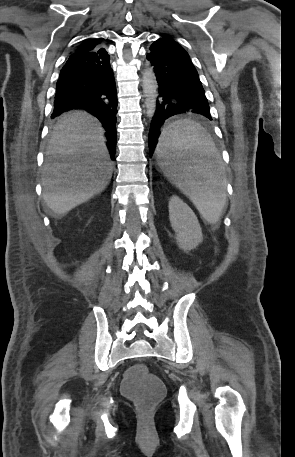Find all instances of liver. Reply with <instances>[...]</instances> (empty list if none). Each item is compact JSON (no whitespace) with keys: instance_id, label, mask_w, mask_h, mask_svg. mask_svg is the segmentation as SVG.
I'll use <instances>...</instances> for the list:
<instances>
[{"instance_id":"6515ba94","label":"liver","mask_w":295,"mask_h":457,"mask_svg":"<svg viewBox=\"0 0 295 457\" xmlns=\"http://www.w3.org/2000/svg\"><path fill=\"white\" fill-rule=\"evenodd\" d=\"M104 129L85 111L65 113L54 127L43 167V198L64 215L101 193L112 176Z\"/></svg>"}]
</instances>
